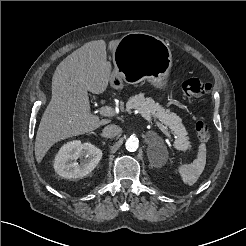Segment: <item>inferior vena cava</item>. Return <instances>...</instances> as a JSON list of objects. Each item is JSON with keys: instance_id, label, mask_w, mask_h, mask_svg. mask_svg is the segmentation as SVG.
I'll use <instances>...</instances> for the list:
<instances>
[{"instance_id": "1", "label": "inferior vena cava", "mask_w": 246, "mask_h": 246, "mask_svg": "<svg viewBox=\"0 0 246 246\" xmlns=\"http://www.w3.org/2000/svg\"><path fill=\"white\" fill-rule=\"evenodd\" d=\"M121 132V128L115 124H110L104 127L102 135L106 138H113Z\"/></svg>"}]
</instances>
